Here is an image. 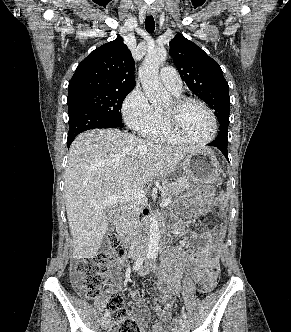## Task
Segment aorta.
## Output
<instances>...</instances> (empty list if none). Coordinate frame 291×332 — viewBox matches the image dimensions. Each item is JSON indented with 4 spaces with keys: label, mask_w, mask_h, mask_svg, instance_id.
I'll use <instances>...</instances> for the list:
<instances>
[{
    "label": "aorta",
    "mask_w": 291,
    "mask_h": 332,
    "mask_svg": "<svg viewBox=\"0 0 291 332\" xmlns=\"http://www.w3.org/2000/svg\"><path fill=\"white\" fill-rule=\"evenodd\" d=\"M167 51L164 47L147 52L139 69V78L143 90L153 104H163L170 100V93L166 91L159 79V67L166 60ZM159 226L155 216L150 217L148 253L156 255L159 248Z\"/></svg>",
    "instance_id": "762f6f07"
}]
</instances>
